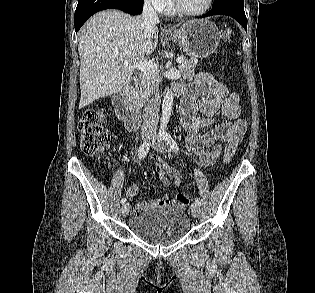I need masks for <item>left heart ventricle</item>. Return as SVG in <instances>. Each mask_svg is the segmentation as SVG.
<instances>
[{
  "instance_id": "b2bd125f",
  "label": "left heart ventricle",
  "mask_w": 315,
  "mask_h": 293,
  "mask_svg": "<svg viewBox=\"0 0 315 293\" xmlns=\"http://www.w3.org/2000/svg\"><path fill=\"white\" fill-rule=\"evenodd\" d=\"M181 5L190 11H197L202 9L207 0H179Z\"/></svg>"
}]
</instances>
